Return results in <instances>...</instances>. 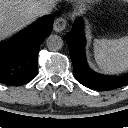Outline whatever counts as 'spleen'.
Listing matches in <instances>:
<instances>
[{"instance_id": "1", "label": "spleen", "mask_w": 128, "mask_h": 128, "mask_svg": "<svg viewBox=\"0 0 128 128\" xmlns=\"http://www.w3.org/2000/svg\"><path fill=\"white\" fill-rule=\"evenodd\" d=\"M94 55L97 64L106 71H127L128 36L119 39H95Z\"/></svg>"}]
</instances>
